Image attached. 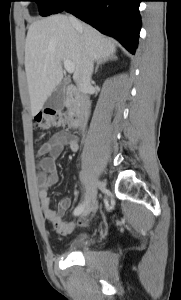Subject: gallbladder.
Returning <instances> with one entry per match:
<instances>
[{"label":"gallbladder","instance_id":"1","mask_svg":"<svg viewBox=\"0 0 181 300\" xmlns=\"http://www.w3.org/2000/svg\"><path fill=\"white\" fill-rule=\"evenodd\" d=\"M65 83L61 82L56 86L52 94L48 97L44 104V108L61 111L64 106Z\"/></svg>","mask_w":181,"mask_h":300}]
</instances>
